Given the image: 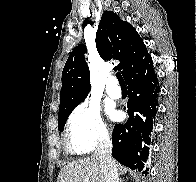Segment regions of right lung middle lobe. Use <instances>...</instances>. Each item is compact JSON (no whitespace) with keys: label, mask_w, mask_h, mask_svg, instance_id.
<instances>
[{"label":"right lung middle lobe","mask_w":196,"mask_h":182,"mask_svg":"<svg viewBox=\"0 0 196 182\" xmlns=\"http://www.w3.org/2000/svg\"><path fill=\"white\" fill-rule=\"evenodd\" d=\"M71 112L72 111L58 117V129L60 131H63L66 120H67V118H68V116L70 115Z\"/></svg>","instance_id":"dd1d6c3e"}]
</instances>
